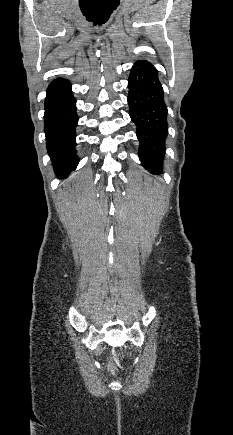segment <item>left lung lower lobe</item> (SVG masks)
<instances>
[{
	"instance_id": "0a47b994",
	"label": "left lung lower lobe",
	"mask_w": 233,
	"mask_h": 435,
	"mask_svg": "<svg viewBox=\"0 0 233 435\" xmlns=\"http://www.w3.org/2000/svg\"><path fill=\"white\" fill-rule=\"evenodd\" d=\"M128 88L129 114L140 142L139 159L149 172L159 173L167 136V108L158 71L153 66L135 64Z\"/></svg>"
}]
</instances>
